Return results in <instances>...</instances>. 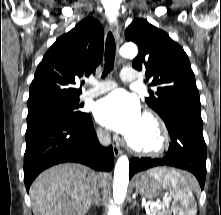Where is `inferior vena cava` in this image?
I'll return each instance as SVG.
<instances>
[{"label":"inferior vena cava","instance_id":"602c4592","mask_svg":"<svg viewBox=\"0 0 221 215\" xmlns=\"http://www.w3.org/2000/svg\"><path fill=\"white\" fill-rule=\"evenodd\" d=\"M98 138H99L100 143L104 146H108L111 143V137H110V133L108 131H99ZM98 194L99 193H98V186H97V190L94 194V199L96 198V196Z\"/></svg>","mask_w":221,"mask_h":215}]
</instances>
